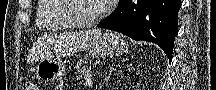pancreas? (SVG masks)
Here are the masks:
<instances>
[{
  "label": "pancreas",
  "instance_id": "cf45deb5",
  "mask_svg": "<svg viewBox=\"0 0 216 90\" xmlns=\"http://www.w3.org/2000/svg\"><path fill=\"white\" fill-rule=\"evenodd\" d=\"M75 74L76 78H78V80H82L85 86L88 84L87 80H91L92 78V74L88 68H76Z\"/></svg>",
  "mask_w": 216,
  "mask_h": 90
}]
</instances>
